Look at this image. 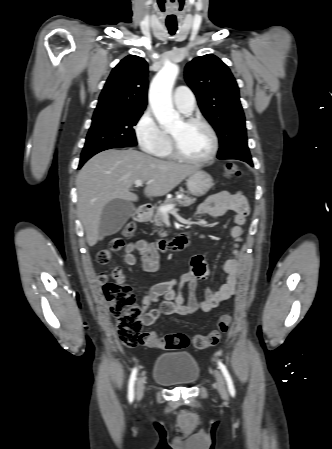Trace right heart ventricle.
Wrapping results in <instances>:
<instances>
[{
    "label": "right heart ventricle",
    "instance_id": "1",
    "mask_svg": "<svg viewBox=\"0 0 332 449\" xmlns=\"http://www.w3.org/2000/svg\"><path fill=\"white\" fill-rule=\"evenodd\" d=\"M158 155L161 157H172L173 156L171 146H170V141Z\"/></svg>",
    "mask_w": 332,
    "mask_h": 449
}]
</instances>
